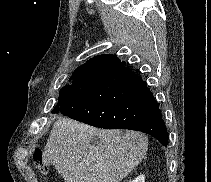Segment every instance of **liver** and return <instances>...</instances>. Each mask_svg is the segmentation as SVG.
<instances>
[{
  "mask_svg": "<svg viewBox=\"0 0 211 182\" xmlns=\"http://www.w3.org/2000/svg\"><path fill=\"white\" fill-rule=\"evenodd\" d=\"M147 150L148 139L142 133L98 129L59 118L43 160L53 165L65 182H120L144 159Z\"/></svg>",
  "mask_w": 211,
  "mask_h": 182,
  "instance_id": "liver-1",
  "label": "liver"
}]
</instances>
